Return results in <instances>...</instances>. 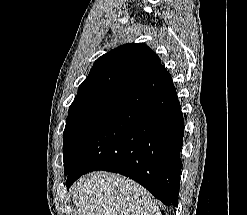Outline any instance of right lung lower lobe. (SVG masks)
I'll return each mask as SVG.
<instances>
[{
    "instance_id": "right-lung-lower-lobe-1",
    "label": "right lung lower lobe",
    "mask_w": 247,
    "mask_h": 215,
    "mask_svg": "<svg viewBox=\"0 0 247 215\" xmlns=\"http://www.w3.org/2000/svg\"><path fill=\"white\" fill-rule=\"evenodd\" d=\"M184 120L171 75L160 65L80 139L66 173L125 175L167 206H178Z\"/></svg>"
}]
</instances>
